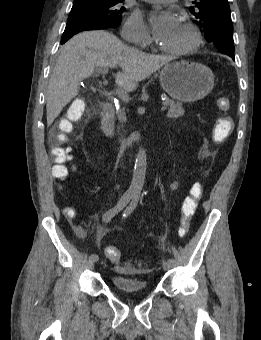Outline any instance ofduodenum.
I'll return each mask as SVG.
<instances>
[{
    "label": "duodenum",
    "mask_w": 261,
    "mask_h": 340,
    "mask_svg": "<svg viewBox=\"0 0 261 340\" xmlns=\"http://www.w3.org/2000/svg\"><path fill=\"white\" fill-rule=\"evenodd\" d=\"M114 105L105 103L103 105L101 126L105 135H111L113 131ZM137 134H134L125 144L132 145L137 140Z\"/></svg>",
    "instance_id": "duodenum-1"
}]
</instances>
